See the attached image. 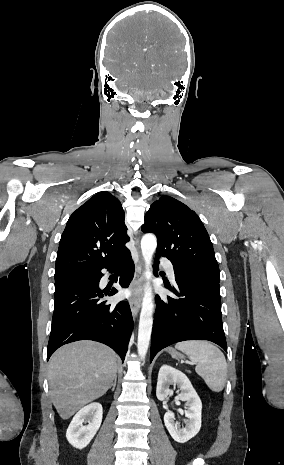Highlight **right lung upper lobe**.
Masks as SVG:
<instances>
[{
  "label": "right lung upper lobe",
  "instance_id": "cb5924a9",
  "mask_svg": "<svg viewBox=\"0 0 284 465\" xmlns=\"http://www.w3.org/2000/svg\"><path fill=\"white\" fill-rule=\"evenodd\" d=\"M124 219L120 201L109 192L74 211L60 239L55 281L96 274L128 251Z\"/></svg>",
  "mask_w": 284,
  "mask_h": 465
}]
</instances>
